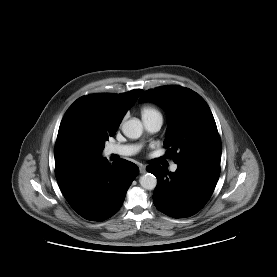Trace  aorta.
<instances>
[{
  "label": "aorta",
  "mask_w": 277,
  "mask_h": 277,
  "mask_svg": "<svg viewBox=\"0 0 277 277\" xmlns=\"http://www.w3.org/2000/svg\"><path fill=\"white\" fill-rule=\"evenodd\" d=\"M122 132L130 139H138L142 135L143 125L137 118L130 119L123 123ZM139 183L142 188L153 190L157 186V178L151 173H146L140 177Z\"/></svg>",
  "instance_id": "1"
}]
</instances>
